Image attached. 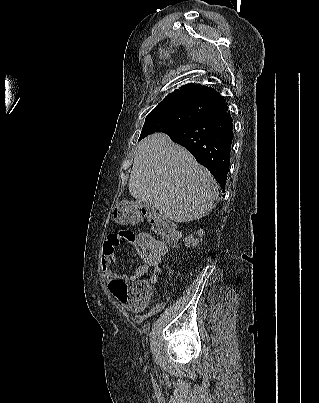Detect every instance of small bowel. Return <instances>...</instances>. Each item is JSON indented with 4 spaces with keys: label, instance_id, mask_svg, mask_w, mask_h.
<instances>
[{
    "label": "small bowel",
    "instance_id": "obj_1",
    "mask_svg": "<svg viewBox=\"0 0 319 403\" xmlns=\"http://www.w3.org/2000/svg\"><path fill=\"white\" fill-rule=\"evenodd\" d=\"M137 248V236L127 224H122L120 229L106 230L101 262L102 274L108 281V292L114 294L116 304L121 305V309H130V312H133V309H147L148 300L153 297L150 283L156 282L161 271V257L166 254H160L158 258H146L145 254H141V263L133 274L116 273L112 268L117 259L115 249ZM149 270V279H140ZM162 306L163 304L155 306L151 313L158 311Z\"/></svg>",
    "mask_w": 319,
    "mask_h": 403
}]
</instances>
